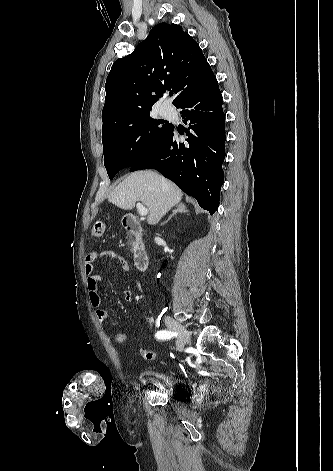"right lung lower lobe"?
I'll return each mask as SVG.
<instances>
[{
    "instance_id": "obj_1",
    "label": "right lung lower lobe",
    "mask_w": 333,
    "mask_h": 471,
    "mask_svg": "<svg viewBox=\"0 0 333 471\" xmlns=\"http://www.w3.org/2000/svg\"><path fill=\"white\" fill-rule=\"evenodd\" d=\"M176 108L182 109L183 122L189 125L186 142H179L171 125L162 141L130 171L158 170L213 214L224 182L226 141L222 95L213 72L196 83Z\"/></svg>"
}]
</instances>
